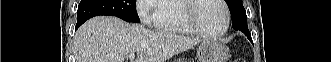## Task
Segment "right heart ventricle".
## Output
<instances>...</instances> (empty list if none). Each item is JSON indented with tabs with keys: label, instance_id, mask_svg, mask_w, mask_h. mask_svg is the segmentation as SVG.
<instances>
[{
	"label": "right heart ventricle",
	"instance_id": "right-heart-ventricle-1",
	"mask_svg": "<svg viewBox=\"0 0 331 62\" xmlns=\"http://www.w3.org/2000/svg\"><path fill=\"white\" fill-rule=\"evenodd\" d=\"M156 28L165 33L196 34L183 17V1L163 0L155 11Z\"/></svg>",
	"mask_w": 331,
	"mask_h": 62
}]
</instances>
